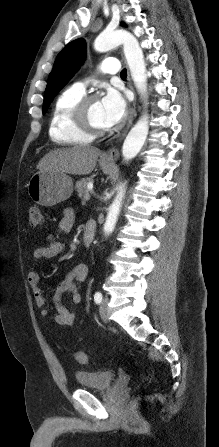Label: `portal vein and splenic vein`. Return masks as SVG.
I'll use <instances>...</instances> for the list:
<instances>
[{"instance_id": "18ae733b", "label": "portal vein and splenic vein", "mask_w": 219, "mask_h": 447, "mask_svg": "<svg viewBox=\"0 0 219 447\" xmlns=\"http://www.w3.org/2000/svg\"><path fill=\"white\" fill-rule=\"evenodd\" d=\"M89 199H90V195H89V193L85 194V196H84V200H85V201H88Z\"/></svg>"}]
</instances>
